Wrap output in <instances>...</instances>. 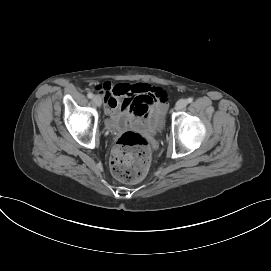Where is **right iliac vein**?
<instances>
[{
	"instance_id": "1",
	"label": "right iliac vein",
	"mask_w": 271,
	"mask_h": 271,
	"mask_svg": "<svg viewBox=\"0 0 271 271\" xmlns=\"http://www.w3.org/2000/svg\"><path fill=\"white\" fill-rule=\"evenodd\" d=\"M93 102H94V104H95L96 106H98V107H100L101 104H102V100H101V98H100L98 95H95V96L93 97Z\"/></svg>"
}]
</instances>
